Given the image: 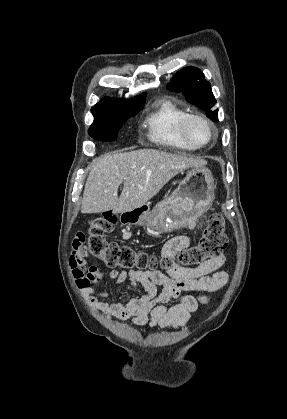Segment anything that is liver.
Here are the masks:
<instances>
[{
	"instance_id": "obj_1",
	"label": "liver",
	"mask_w": 287,
	"mask_h": 419,
	"mask_svg": "<svg viewBox=\"0 0 287 419\" xmlns=\"http://www.w3.org/2000/svg\"><path fill=\"white\" fill-rule=\"evenodd\" d=\"M205 165L206 161L198 157L156 149L106 153L90 165L81 212L92 214L112 210L117 214L139 208L178 173ZM121 183L124 186L118 197Z\"/></svg>"
}]
</instances>
